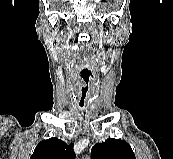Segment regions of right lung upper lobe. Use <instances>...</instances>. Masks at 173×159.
Here are the masks:
<instances>
[{
  "mask_svg": "<svg viewBox=\"0 0 173 159\" xmlns=\"http://www.w3.org/2000/svg\"><path fill=\"white\" fill-rule=\"evenodd\" d=\"M73 146L74 144L67 145L58 138L42 140L30 159H75Z\"/></svg>",
  "mask_w": 173,
  "mask_h": 159,
  "instance_id": "right-lung-upper-lobe-1",
  "label": "right lung upper lobe"
}]
</instances>
